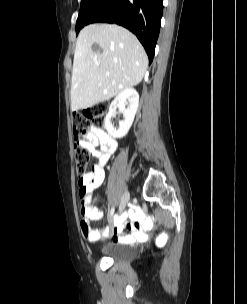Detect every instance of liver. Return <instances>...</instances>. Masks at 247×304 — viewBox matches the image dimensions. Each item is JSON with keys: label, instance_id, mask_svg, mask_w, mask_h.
<instances>
[{"label": "liver", "instance_id": "6515ba94", "mask_svg": "<svg viewBox=\"0 0 247 304\" xmlns=\"http://www.w3.org/2000/svg\"><path fill=\"white\" fill-rule=\"evenodd\" d=\"M94 44L102 51H94ZM147 67L143 46L127 29L115 24L84 27L74 53L71 110L92 107L138 85Z\"/></svg>", "mask_w": 247, "mask_h": 304}]
</instances>
